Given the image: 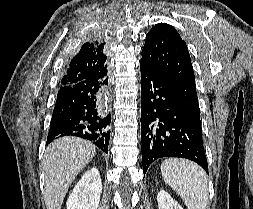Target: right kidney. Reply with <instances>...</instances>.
<instances>
[{"label":"right kidney","instance_id":"1","mask_svg":"<svg viewBox=\"0 0 253 209\" xmlns=\"http://www.w3.org/2000/svg\"><path fill=\"white\" fill-rule=\"evenodd\" d=\"M101 192L99 171L91 168L74 187L67 201V209H98Z\"/></svg>","mask_w":253,"mask_h":209}]
</instances>
